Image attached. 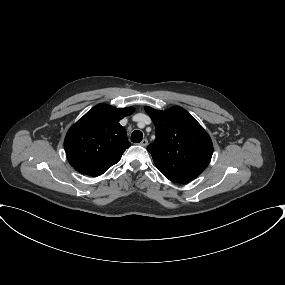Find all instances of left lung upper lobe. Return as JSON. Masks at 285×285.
I'll return each mask as SVG.
<instances>
[{
  "label": "left lung upper lobe",
  "mask_w": 285,
  "mask_h": 285,
  "mask_svg": "<svg viewBox=\"0 0 285 285\" xmlns=\"http://www.w3.org/2000/svg\"><path fill=\"white\" fill-rule=\"evenodd\" d=\"M155 125L156 139L147 150L166 174L195 179L208 166L213 145L203 127L182 107L165 111L145 107Z\"/></svg>",
  "instance_id": "left-lung-upper-lobe-1"
}]
</instances>
